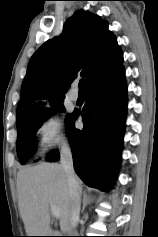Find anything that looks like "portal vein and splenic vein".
I'll list each match as a JSON object with an SVG mask.
<instances>
[{
  "instance_id": "portal-vein-and-splenic-vein-1",
  "label": "portal vein and splenic vein",
  "mask_w": 158,
  "mask_h": 237,
  "mask_svg": "<svg viewBox=\"0 0 158 237\" xmlns=\"http://www.w3.org/2000/svg\"><path fill=\"white\" fill-rule=\"evenodd\" d=\"M51 211L56 218H60V210L53 204H51Z\"/></svg>"
}]
</instances>
